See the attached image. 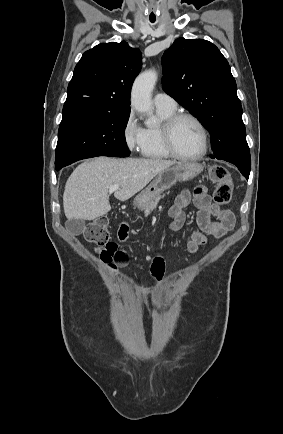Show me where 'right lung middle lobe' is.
Returning <instances> with one entry per match:
<instances>
[{"mask_svg": "<svg viewBox=\"0 0 283 434\" xmlns=\"http://www.w3.org/2000/svg\"><path fill=\"white\" fill-rule=\"evenodd\" d=\"M129 115L130 111L62 118L56 147V170L85 158L129 156L124 136Z\"/></svg>", "mask_w": 283, "mask_h": 434, "instance_id": "obj_1", "label": "right lung middle lobe"}]
</instances>
